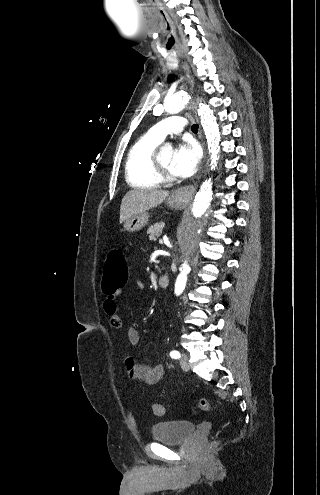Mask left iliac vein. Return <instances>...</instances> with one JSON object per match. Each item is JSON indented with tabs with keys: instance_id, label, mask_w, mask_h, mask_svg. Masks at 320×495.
<instances>
[{
	"instance_id": "1",
	"label": "left iliac vein",
	"mask_w": 320,
	"mask_h": 495,
	"mask_svg": "<svg viewBox=\"0 0 320 495\" xmlns=\"http://www.w3.org/2000/svg\"><path fill=\"white\" fill-rule=\"evenodd\" d=\"M180 366L182 370L184 371H189L190 365H189V357L187 354L183 353L180 358Z\"/></svg>"
}]
</instances>
